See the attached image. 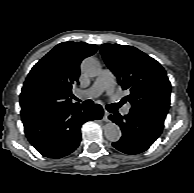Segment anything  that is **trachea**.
Here are the masks:
<instances>
[{
  "instance_id": "1",
  "label": "trachea",
  "mask_w": 194,
  "mask_h": 193,
  "mask_svg": "<svg viewBox=\"0 0 194 193\" xmlns=\"http://www.w3.org/2000/svg\"><path fill=\"white\" fill-rule=\"evenodd\" d=\"M75 100H77V101H80L78 98H76V97H73ZM92 104H93V102H92V100H85V101H83V105L84 106H87V107H90V106H92ZM112 107V105H108L107 106V108H108V110L110 109Z\"/></svg>"
}]
</instances>
